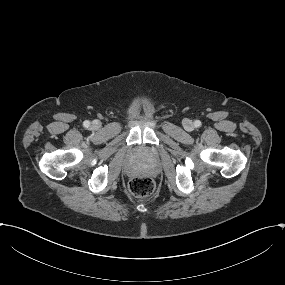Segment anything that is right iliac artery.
<instances>
[{"instance_id":"1","label":"right iliac artery","mask_w":285,"mask_h":285,"mask_svg":"<svg viewBox=\"0 0 285 285\" xmlns=\"http://www.w3.org/2000/svg\"><path fill=\"white\" fill-rule=\"evenodd\" d=\"M89 125H90V122H89V121L86 120V121L83 122V126H84V127H89Z\"/></svg>"}]
</instances>
